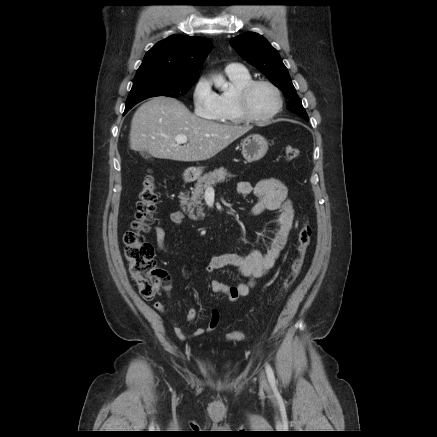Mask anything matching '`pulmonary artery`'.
Listing matches in <instances>:
<instances>
[{
    "label": "pulmonary artery",
    "instance_id": "1",
    "mask_svg": "<svg viewBox=\"0 0 437 437\" xmlns=\"http://www.w3.org/2000/svg\"><path fill=\"white\" fill-rule=\"evenodd\" d=\"M243 68L240 64L237 63H231L227 65L226 69L232 70V69H240Z\"/></svg>",
    "mask_w": 437,
    "mask_h": 437
}]
</instances>
